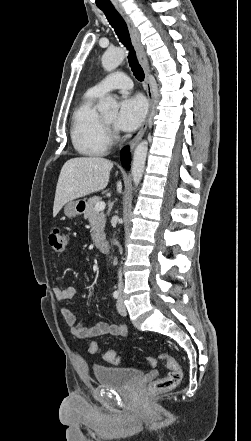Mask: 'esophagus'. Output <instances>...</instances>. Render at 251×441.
Here are the masks:
<instances>
[{
  "instance_id": "34e87169",
  "label": "esophagus",
  "mask_w": 251,
  "mask_h": 441,
  "mask_svg": "<svg viewBox=\"0 0 251 441\" xmlns=\"http://www.w3.org/2000/svg\"><path fill=\"white\" fill-rule=\"evenodd\" d=\"M117 10L120 13V15L123 17V19L125 20V22L128 26L132 44L135 48L138 60H139L140 64L142 65L143 70L145 72V76H146L145 77V90H146V94H147L148 101H149V109H148L147 116H146L140 130L138 131L136 136L130 142V148L132 149L141 140V138L143 137V135L147 129L148 121L150 119L151 112L153 110L154 96H153L152 85H151V82L149 79L150 70H149L148 60L145 55L144 49L140 43L138 31H137L133 21L131 20L130 16L125 12V10L121 7L117 8Z\"/></svg>"
}]
</instances>
